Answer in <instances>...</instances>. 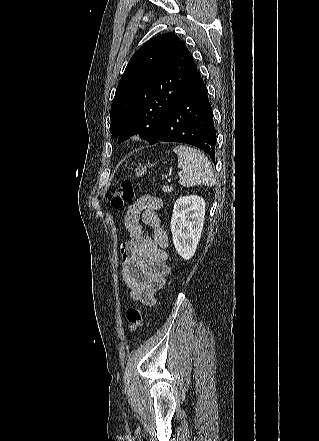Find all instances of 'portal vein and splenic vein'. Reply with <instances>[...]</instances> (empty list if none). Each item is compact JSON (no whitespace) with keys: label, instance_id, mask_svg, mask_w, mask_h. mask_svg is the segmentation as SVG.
Listing matches in <instances>:
<instances>
[{"label":"portal vein and splenic vein","instance_id":"18ae733b","mask_svg":"<svg viewBox=\"0 0 319 441\" xmlns=\"http://www.w3.org/2000/svg\"><path fill=\"white\" fill-rule=\"evenodd\" d=\"M182 175V173H178V176H181Z\"/></svg>","mask_w":319,"mask_h":441}]
</instances>
